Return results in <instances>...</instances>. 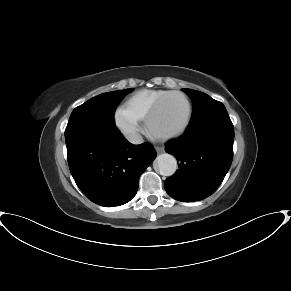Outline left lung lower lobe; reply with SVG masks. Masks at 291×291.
<instances>
[{"label":"left lung lower lobe","instance_id":"1","mask_svg":"<svg viewBox=\"0 0 291 291\" xmlns=\"http://www.w3.org/2000/svg\"><path fill=\"white\" fill-rule=\"evenodd\" d=\"M233 142L234 128L226 110L189 125L183 136L166 146L179 162L176 173L165 180L166 192L182 202L210 196L231 166Z\"/></svg>","mask_w":291,"mask_h":291}]
</instances>
